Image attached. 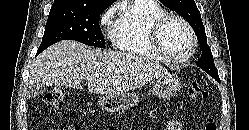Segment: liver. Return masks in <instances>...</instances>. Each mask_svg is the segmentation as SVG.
Here are the masks:
<instances>
[{"instance_id": "1", "label": "liver", "mask_w": 249, "mask_h": 130, "mask_svg": "<svg viewBox=\"0 0 249 130\" xmlns=\"http://www.w3.org/2000/svg\"><path fill=\"white\" fill-rule=\"evenodd\" d=\"M165 75H169L168 70L148 58L107 52L65 40L35 59L28 83L82 89L81 81L86 80L90 93L109 95L141 88Z\"/></svg>"}]
</instances>
